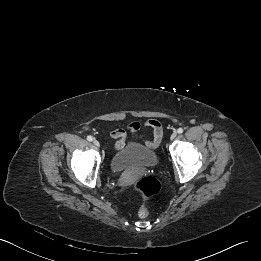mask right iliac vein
Returning <instances> with one entry per match:
<instances>
[{
    "instance_id": "1",
    "label": "right iliac vein",
    "mask_w": 261,
    "mask_h": 261,
    "mask_svg": "<svg viewBox=\"0 0 261 261\" xmlns=\"http://www.w3.org/2000/svg\"><path fill=\"white\" fill-rule=\"evenodd\" d=\"M93 143H94V145H95L96 147H99V146H100V143H99V141H98L97 139H94V140H93Z\"/></svg>"
}]
</instances>
